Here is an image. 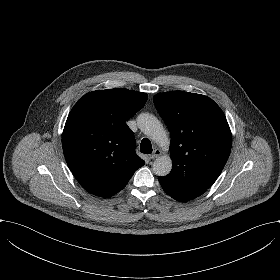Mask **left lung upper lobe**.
Listing matches in <instances>:
<instances>
[{"mask_svg": "<svg viewBox=\"0 0 280 280\" xmlns=\"http://www.w3.org/2000/svg\"><path fill=\"white\" fill-rule=\"evenodd\" d=\"M153 100L171 134L172 170L159 182L172 195L196 198L216 181L230 155L226 117L212 99L200 94L172 91Z\"/></svg>", "mask_w": 280, "mask_h": 280, "instance_id": "obj_1", "label": "left lung upper lobe"}]
</instances>
